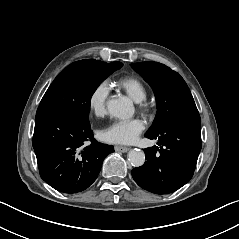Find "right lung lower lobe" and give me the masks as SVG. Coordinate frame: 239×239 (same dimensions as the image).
Instances as JSON below:
<instances>
[{
    "mask_svg": "<svg viewBox=\"0 0 239 239\" xmlns=\"http://www.w3.org/2000/svg\"><path fill=\"white\" fill-rule=\"evenodd\" d=\"M32 144L41 178L57 191L70 194L88 188L104 158L114 152L113 146L93 138L89 120L61 109L36 115Z\"/></svg>",
    "mask_w": 239,
    "mask_h": 239,
    "instance_id": "obj_1",
    "label": "right lung lower lobe"
}]
</instances>
